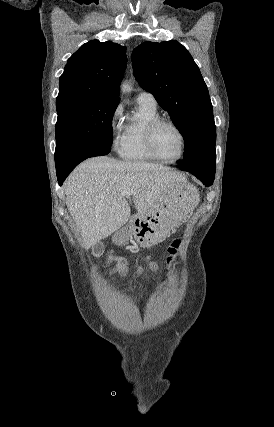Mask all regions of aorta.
Here are the masks:
<instances>
[{
	"label": "aorta",
	"instance_id": "aorta-1",
	"mask_svg": "<svg viewBox=\"0 0 274 427\" xmlns=\"http://www.w3.org/2000/svg\"><path fill=\"white\" fill-rule=\"evenodd\" d=\"M121 88L124 92H130L132 90V86L127 83L122 84Z\"/></svg>",
	"mask_w": 274,
	"mask_h": 427
}]
</instances>
